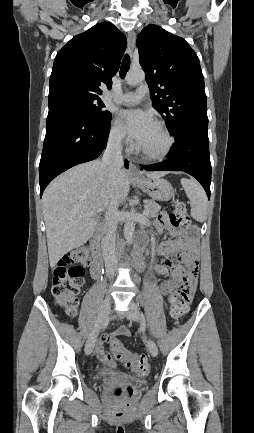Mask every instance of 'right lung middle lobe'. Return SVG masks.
<instances>
[{
	"label": "right lung middle lobe",
	"instance_id": "dd1d6c3e",
	"mask_svg": "<svg viewBox=\"0 0 254 433\" xmlns=\"http://www.w3.org/2000/svg\"><path fill=\"white\" fill-rule=\"evenodd\" d=\"M52 106L74 108L95 120H104L111 117V113L109 111L103 110L105 105L99 99H67L60 101Z\"/></svg>",
	"mask_w": 254,
	"mask_h": 433
}]
</instances>
